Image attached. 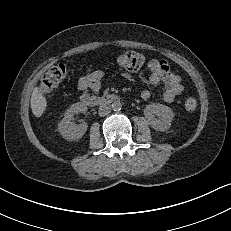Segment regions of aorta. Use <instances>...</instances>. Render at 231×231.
<instances>
[{
  "label": "aorta",
  "instance_id": "obj_1",
  "mask_svg": "<svg viewBox=\"0 0 231 231\" xmlns=\"http://www.w3.org/2000/svg\"><path fill=\"white\" fill-rule=\"evenodd\" d=\"M111 107L114 111H119L122 108V104L119 100H116L112 103Z\"/></svg>",
  "mask_w": 231,
  "mask_h": 231
}]
</instances>
